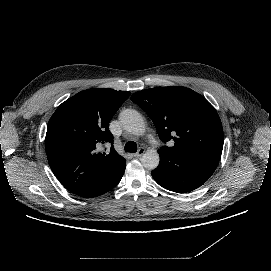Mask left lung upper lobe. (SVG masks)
<instances>
[{
    "mask_svg": "<svg viewBox=\"0 0 271 271\" xmlns=\"http://www.w3.org/2000/svg\"><path fill=\"white\" fill-rule=\"evenodd\" d=\"M131 100L152 119L160 139L174 141L173 151L220 158L223 128L214 107L186 87H155L138 91Z\"/></svg>",
    "mask_w": 271,
    "mask_h": 271,
    "instance_id": "left-lung-upper-lobe-1",
    "label": "left lung upper lobe"
}]
</instances>
